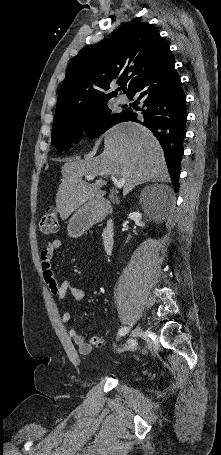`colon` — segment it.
Segmentation results:
<instances>
[{
  "mask_svg": "<svg viewBox=\"0 0 221 455\" xmlns=\"http://www.w3.org/2000/svg\"><path fill=\"white\" fill-rule=\"evenodd\" d=\"M39 230L43 235H54L58 232V213L56 208L49 207L43 213L39 221ZM97 341L96 339L94 340ZM136 348V342L129 341L122 349L132 350Z\"/></svg>",
  "mask_w": 221,
  "mask_h": 455,
  "instance_id": "1",
  "label": "colon"
}]
</instances>
